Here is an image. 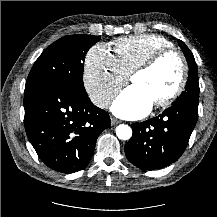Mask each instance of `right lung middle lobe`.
Returning <instances> with one entry per match:
<instances>
[{
  "mask_svg": "<svg viewBox=\"0 0 217 217\" xmlns=\"http://www.w3.org/2000/svg\"><path fill=\"white\" fill-rule=\"evenodd\" d=\"M99 40V36L77 34L62 37L52 43L35 61L27 78L25 90L60 83L85 92V55Z\"/></svg>",
  "mask_w": 217,
  "mask_h": 217,
  "instance_id": "obj_1",
  "label": "right lung middle lobe"
}]
</instances>
